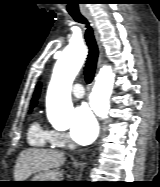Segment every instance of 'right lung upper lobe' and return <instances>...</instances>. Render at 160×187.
<instances>
[{"instance_id":"1","label":"right lung upper lobe","mask_w":160,"mask_h":187,"mask_svg":"<svg viewBox=\"0 0 160 187\" xmlns=\"http://www.w3.org/2000/svg\"><path fill=\"white\" fill-rule=\"evenodd\" d=\"M41 83H39L36 87V90L33 95V99L31 101V107H34L37 104V99L40 95Z\"/></svg>"}]
</instances>
